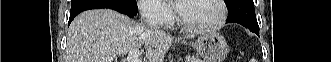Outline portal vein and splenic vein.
Wrapping results in <instances>:
<instances>
[{"mask_svg":"<svg viewBox=\"0 0 331 62\" xmlns=\"http://www.w3.org/2000/svg\"><path fill=\"white\" fill-rule=\"evenodd\" d=\"M139 51L137 49H132L129 51L127 59L124 62H142L140 58H138ZM112 58H108L110 61Z\"/></svg>","mask_w":331,"mask_h":62,"instance_id":"portal-vein-and-splenic-vein-1","label":"portal vein and splenic vein"}]
</instances>
